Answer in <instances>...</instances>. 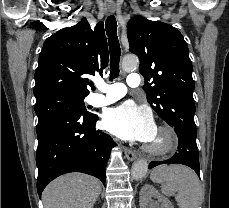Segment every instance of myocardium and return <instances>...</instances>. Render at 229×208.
Instances as JSON below:
<instances>
[{
  "label": "myocardium",
  "instance_id": "myocardium-1",
  "mask_svg": "<svg viewBox=\"0 0 229 208\" xmlns=\"http://www.w3.org/2000/svg\"><path fill=\"white\" fill-rule=\"evenodd\" d=\"M156 131L163 132L168 135V138L164 139V142L166 143V147H164L165 146L164 142L160 143V146L164 147L162 149H157L147 144L145 146L146 152L150 156L157 157V158L165 157L172 154L178 148L179 145V137L177 132L174 130V128L168 125L159 126L157 127Z\"/></svg>",
  "mask_w": 229,
  "mask_h": 208
}]
</instances>
